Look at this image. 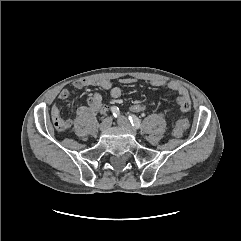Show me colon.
I'll list each match as a JSON object with an SVG mask.
<instances>
[{"instance_id":"1","label":"colon","mask_w":241,"mask_h":241,"mask_svg":"<svg viewBox=\"0 0 241 241\" xmlns=\"http://www.w3.org/2000/svg\"><path fill=\"white\" fill-rule=\"evenodd\" d=\"M131 111L134 113L141 114L143 113L147 107L144 103H135L130 107ZM189 120L186 118L179 119L176 123V126L174 128V135L176 137H181L184 133V131L189 127ZM57 126V124H55Z\"/></svg>"}]
</instances>
